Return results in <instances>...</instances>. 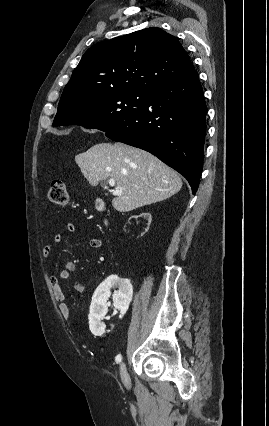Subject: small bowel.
I'll list each match as a JSON object with an SVG mask.
<instances>
[{
	"label": "small bowel",
	"instance_id": "c3829d8e",
	"mask_svg": "<svg viewBox=\"0 0 269 426\" xmlns=\"http://www.w3.org/2000/svg\"><path fill=\"white\" fill-rule=\"evenodd\" d=\"M76 227L73 223H67L66 230L69 233H73ZM63 240V236L61 234H56L52 241L45 245L42 248V253L44 256H49L55 245L61 243ZM88 244L93 249H99L102 247L101 239L97 237H92L88 240ZM76 270V265L72 261H68L64 264V267L59 270L57 273H53L49 277V283L51 289L54 293L56 300L59 303V311L62 317L66 320L70 319L71 311L69 305L65 301V296L62 289V282L68 280L72 273ZM76 288L80 290L82 288V283H77Z\"/></svg>",
	"mask_w": 269,
	"mask_h": 426
}]
</instances>
